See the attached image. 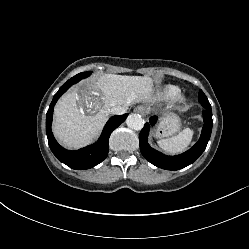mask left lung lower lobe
Here are the masks:
<instances>
[{"label": "left lung lower lobe", "instance_id": "0a47b994", "mask_svg": "<svg viewBox=\"0 0 249 249\" xmlns=\"http://www.w3.org/2000/svg\"><path fill=\"white\" fill-rule=\"evenodd\" d=\"M198 100L201 103V105L205 108L203 110L204 126L202 128V133L198 142L191 149L180 155L167 156L151 148L150 145L148 144L147 139H148L149 130L150 127L156 123L157 121L156 116H152L149 120V123L147 122L144 125V128L141 130L139 135V145L142 155L150 163L162 169L175 171L192 164L203 153L211 136L212 124H213L212 111H211V105L204 93L199 95Z\"/></svg>", "mask_w": 249, "mask_h": 249}]
</instances>
